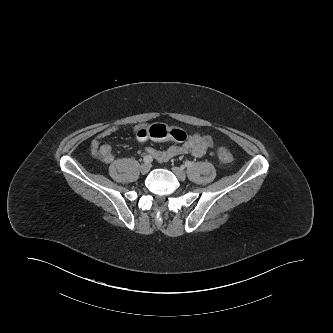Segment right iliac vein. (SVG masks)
I'll return each instance as SVG.
<instances>
[{"label": "right iliac vein", "instance_id": "obj_1", "mask_svg": "<svg viewBox=\"0 0 333 333\" xmlns=\"http://www.w3.org/2000/svg\"><path fill=\"white\" fill-rule=\"evenodd\" d=\"M150 164L149 163H143L141 166H140V171L142 174H146L150 171Z\"/></svg>", "mask_w": 333, "mask_h": 333}]
</instances>
